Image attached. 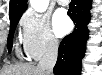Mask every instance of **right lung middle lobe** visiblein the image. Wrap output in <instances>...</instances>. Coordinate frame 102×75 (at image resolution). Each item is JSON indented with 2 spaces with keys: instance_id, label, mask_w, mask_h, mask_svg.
<instances>
[{
  "instance_id": "1",
  "label": "right lung middle lobe",
  "mask_w": 102,
  "mask_h": 75,
  "mask_svg": "<svg viewBox=\"0 0 102 75\" xmlns=\"http://www.w3.org/2000/svg\"><path fill=\"white\" fill-rule=\"evenodd\" d=\"M21 15L22 14L10 17V32H9V36H8V40H7V47H8L9 52L12 49L14 32H15L17 23H18Z\"/></svg>"
}]
</instances>
